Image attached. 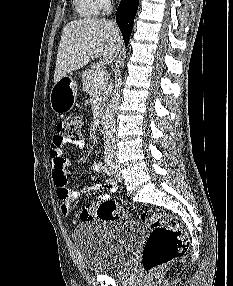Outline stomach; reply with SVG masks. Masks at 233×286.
I'll return each instance as SVG.
<instances>
[{
    "mask_svg": "<svg viewBox=\"0 0 233 286\" xmlns=\"http://www.w3.org/2000/svg\"><path fill=\"white\" fill-rule=\"evenodd\" d=\"M76 89L70 85L67 77H63L52 87L50 92V106L54 113L63 115L74 105Z\"/></svg>",
    "mask_w": 233,
    "mask_h": 286,
    "instance_id": "1",
    "label": "stomach"
}]
</instances>
